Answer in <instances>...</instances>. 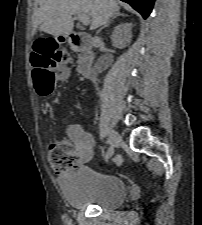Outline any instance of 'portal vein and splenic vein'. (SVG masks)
<instances>
[{
    "label": "portal vein and splenic vein",
    "instance_id": "portal-vein-and-splenic-vein-1",
    "mask_svg": "<svg viewBox=\"0 0 202 225\" xmlns=\"http://www.w3.org/2000/svg\"><path fill=\"white\" fill-rule=\"evenodd\" d=\"M77 19L84 25L87 26L90 24V17L86 14L80 13L77 14Z\"/></svg>",
    "mask_w": 202,
    "mask_h": 225
}]
</instances>
